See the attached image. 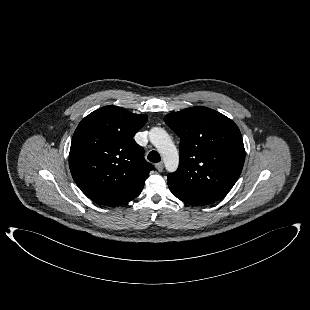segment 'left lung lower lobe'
<instances>
[{
    "instance_id": "0a47b994",
    "label": "left lung lower lobe",
    "mask_w": 310,
    "mask_h": 310,
    "mask_svg": "<svg viewBox=\"0 0 310 310\" xmlns=\"http://www.w3.org/2000/svg\"><path fill=\"white\" fill-rule=\"evenodd\" d=\"M168 186H169V189L171 190V192L178 199H180L181 201H183L185 203H188V204H191V205H208V204H211V203L215 202V200L207 199V198H204V197H198V196L191 195V194H186V193L181 192L178 189H175V188L171 187L170 185H168Z\"/></svg>"
}]
</instances>
